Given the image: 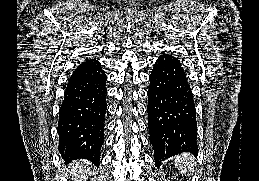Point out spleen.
I'll return each mask as SVG.
<instances>
[{
  "label": "spleen",
  "instance_id": "1",
  "mask_svg": "<svg viewBox=\"0 0 259 181\" xmlns=\"http://www.w3.org/2000/svg\"><path fill=\"white\" fill-rule=\"evenodd\" d=\"M174 162L182 174H186L187 170H193L194 158L190 154H181L175 158Z\"/></svg>",
  "mask_w": 259,
  "mask_h": 181
}]
</instances>
